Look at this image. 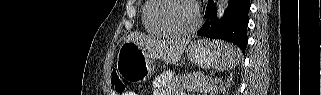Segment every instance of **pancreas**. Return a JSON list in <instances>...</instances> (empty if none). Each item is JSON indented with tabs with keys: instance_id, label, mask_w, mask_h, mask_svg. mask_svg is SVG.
Returning <instances> with one entry per match:
<instances>
[{
	"instance_id": "cf45deb5",
	"label": "pancreas",
	"mask_w": 321,
	"mask_h": 95,
	"mask_svg": "<svg viewBox=\"0 0 321 95\" xmlns=\"http://www.w3.org/2000/svg\"><path fill=\"white\" fill-rule=\"evenodd\" d=\"M216 81L201 73L183 74L176 76L173 88L177 90L197 91L206 95L208 92H213Z\"/></svg>"
}]
</instances>
